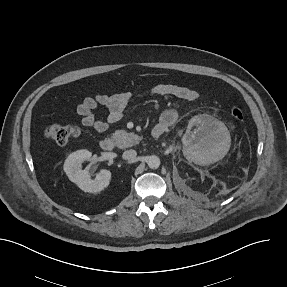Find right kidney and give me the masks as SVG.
I'll return each instance as SVG.
<instances>
[{"label":"right kidney","instance_id":"obj_1","mask_svg":"<svg viewBox=\"0 0 287 287\" xmlns=\"http://www.w3.org/2000/svg\"><path fill=\"white\" fill-rule=\"evenodd\" d=\"M92 153L88 150H79L71 153L64 163V171L69 180L75 183L84 192L98 193L104 190L110 183L111 172L103 169L95 179H91L86 170H82L84 161L91 159Z\"/></svg>","mask_w":287,"mask_h":287}]
</instances>
